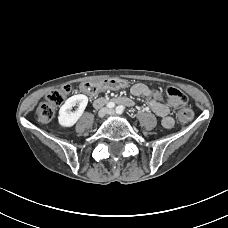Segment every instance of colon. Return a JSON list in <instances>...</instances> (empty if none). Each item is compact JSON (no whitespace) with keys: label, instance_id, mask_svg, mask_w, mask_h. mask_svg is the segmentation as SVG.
I'll use <instances>...</instances> for the list:
<instances>
[{"label":"colon","instance_id":"colon-1","mask_svg":"<svg viewBox=\"0 0 228 228\" xmlns=\"http://www.w3.org/2000/svg\"><path fill=\"white\" fill-rule=\"evenodd\" d=\"M71 92L72 89L70 85H63L50 91L46 100L39 104L36 109L38 121L41 123L50 122L54 117L57 107L67 100ZM167 95L170 103L178 107L176 115L177 121L181 124L189 122L193 118V110L187 104V95L175 87H170L167 90Z\"/></svg>","mask_w":228,"mask_h":228}]
</instances>
